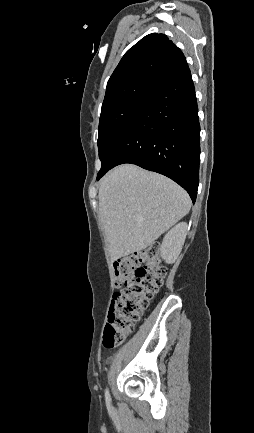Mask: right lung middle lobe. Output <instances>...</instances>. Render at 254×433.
Returning a JSON list of instances; mask_svg holds the SVG:
<instances>
[{
    "label": "right lung middle lobe",
    "mask_w": 254,
    "mask_h": 433,
    "mask_svg": "<svg viewBox=\"0 0 254 433\" xmlns=\"http://www.w3.org/2000/svg\"><path fill=\"white\" fill-rule=\"evenodd\" d=\"M148 99H127L108 105L101 110L98 148L103 169L116 141Z\"/></svg>",
    "instance_id": "obj_1"
}]
</instances>
